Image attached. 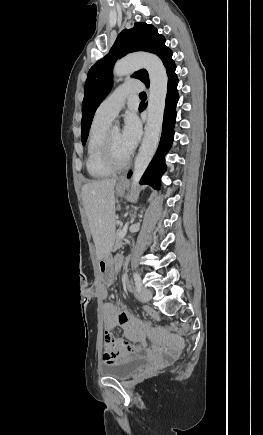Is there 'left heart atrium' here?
I'll return each instance as SVG.
<instances>
[{
  "instance_id": "1",
  "label": "left heart atrium",
  "mask_w": 263,
  "mask_h": 435,
  "mask_svg": "<svg viewBox=\"0 0 263 435\" xmlns=\"http://www.w3.org/2000/svg\"><path fill=\"white\" fill-rule=\"evenodd\" d=\"M141 137V125L134 113L126 116L124 127L121 133V141L125 150L130 154L137 146Z\"/></svg>"
}]
</instances>
